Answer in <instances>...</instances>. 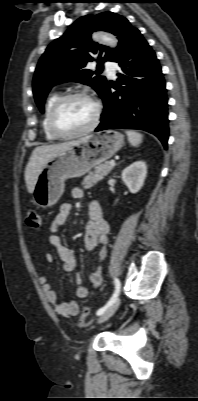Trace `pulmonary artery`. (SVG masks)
<instances>
[{
  "mask_svg": "<svg viewBox=\"0 0 198 401\" xmlns=\"http://www.w3.org/2000/svg\"><path fill=\"white\" fill-rule=\"evenodd\" d=\"M104 66L106 67L109 76L114 78L115 77L116 64L114 62H112V61H105L104 62Z\"/></svg>",
  "mask_w": 198,
  "mask_h": 401,
  "instance_id": "e3ab8cb5",
  "label": "pulmonary artery"
}]
</instances>
